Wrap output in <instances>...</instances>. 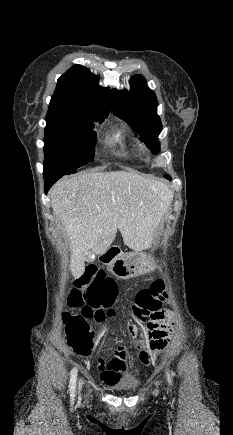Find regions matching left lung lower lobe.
I'll list each match as a JSON object with an SVG mask.
<instances>
[{
	"label": "left lung lower lobe",
	"instance_id": "obj_1",
	"mask_svg": "<svg viewBox=\"0 0 233 435\" xmlns=\"http://www.w3.org/2000/svg\"><path fill=\"white\" fill-rule=\"evenodd\" d=\"M165 177H166L167 179L171 180V176L166 175Z\"/></svg>",
	"mask_w": 233,
	"mask_h": 435
}]
</instances>
